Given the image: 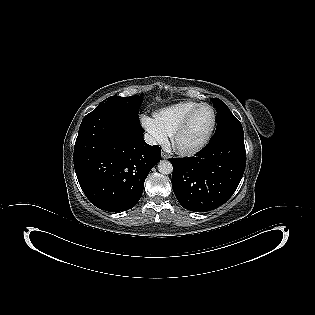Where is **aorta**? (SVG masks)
<instances>
[{
    "label": "aorta",
    "mask_w": 315,
    "mask_h": 315,
    "mask_svg": "<svg viewBox=\"0 0 315 315\" xmlns=\"http://www.w3.org/2000/svg\"><path fill=\"white\" fill-rule=\"evenodd\" d=\"M173 170L172 164L167 160H161L158 163V171L161 174L168 175L171 174Z\"/></svg>",
    "instance_id": "1"
}]
</instances>
